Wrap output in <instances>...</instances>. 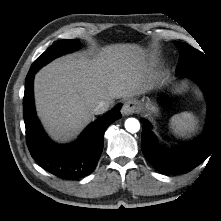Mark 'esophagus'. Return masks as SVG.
Masks as SVG:
<instances>
[{"label": "esophagus", "mask_w": 221, "mask_h": 221, "mask_svg": "<svg viewBox=\"0 0 221 221\" xmlns=\"http://www.w3.org/2000/svg\"><path fill=\"white\" fill-rule=\"evenodd\" d=\"M138 111V103L134 99L127 100L122 108V113L124 115H131Z\"/></svg>", "instance_id": "34e87169"}]
</instances>
